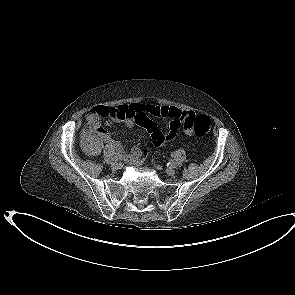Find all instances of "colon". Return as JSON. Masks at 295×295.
<instances>
[{
    "label": "colon",
    "instance_id": "5ec220e1",
    "mask_svg": "<svg viewBox=\"0 0 295 295\" xmlns=\"http://www.w3.org/2000/svg\"><path fill=\"white\" fill-rule=\"evenodd\" d=\"M100 119V118H99ZM183 124L186 128H191L199 136H207L211 130L210 118L206 115H191L182 118ZM90 139L84 140L86 146L89 145Z\"/></svg>",
    "mask_w": 295,
    "mask_h": 295
}]
</instances>
